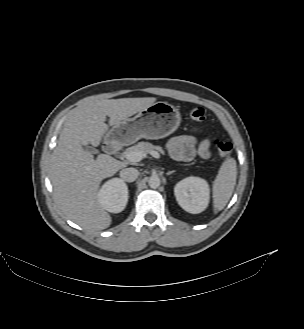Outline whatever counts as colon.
I'll list each match as a JSON object with an SVG mask.
<instances>
[{
    "instance_id": "obj_1",
    "label": "colon",
    "mask_w": 304,
    "mask_h": 329,
    "mask_svg": "<svg viewBox=\"0 0 304 329\" xmlns=\"http://www.w3.org/2000/svg\"><path fill=\"white\" fill-rule=\"evenodd\" d=\"M189 117L197 122L205 120V110L200 106H196L190 109ZM214 145L221 157H229L232 152V144L229 141L222 139H215Z\"/></svg>"
}]
</instances>
